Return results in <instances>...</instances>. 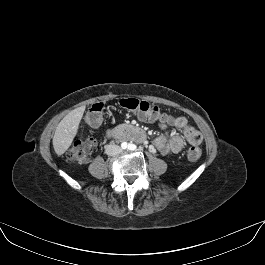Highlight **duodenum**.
I'll use <instances>...</instances> for the list:
<instances>
[{
    "mask_svg": "<svg viewBox=\"0 0 265 265\" xmlns=\"http://www.w3.org/2000/svg\"><path fill=\"white\" fill-rule=\"evenodd\" d=\"M106 135L108 138L120 141L133 140L143 142L145 140L144 131L135 126L109 128L106 131Z\"/></svg>",
    "mask_w": 265,
    "mask_h": 265,
    "instance_id": "obj_1",
    "label": "duodenum"
}]
</instances>
